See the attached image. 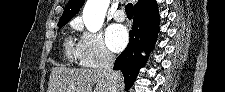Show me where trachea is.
<instances>
[{"mask_svg": "<svg viewBox=\"0 0 225 92\" xmlns=\"http://www.w3.org/2000/svg\"><path fill=\"white\" fill-rule=\"evenodd\" d=\"M125 10H126L127 17L132 18L133 12H134V6H133V4L132 3H128L125 6Z\"/></svg>", "mask_w": 225, "mask_h": 92, "instance_id": "obj_1", "label": "trachea"}]
</instances>
